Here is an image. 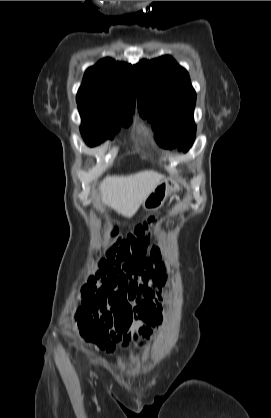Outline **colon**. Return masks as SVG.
Returning a JSON list of instances; mask_svg holds the SVG:
<instances>
[{
  "instance_id": "colon-1",
  "label": "colon",
  "mask_w": 271,
  "mask_h": 418,
  "mask_svg": "<svg viewBox=\"0 0 271 418\" xmlns=\"http://www.w3.org/2000/svg\"><path fill=\"white\" fill-rule=\"evenodd\" d=\"M158 222L156 218H149L136 225L125 237L118 236L117 232L113 231L112 235L116 237V241L108 252L109 257L115 258L118 262H131L146 256L150 233ZM137 314L142 313L138 311ZM77 318L82 336L95 341L101 347L108 342V329L104 323L98 322V317L95 314L80 310L77 313Z\"/></svg>"
}]
</instances>
